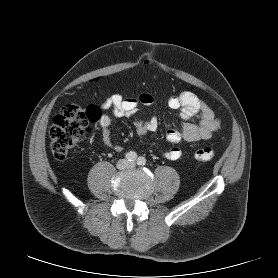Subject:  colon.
Returning a JSON list of instances; mask_svg holds the SVG:
<instances>
[{
  "label": "colon",
  "instance_id": "5ec220e1",
  "mask_svg": "<svg viewBox=\"0 0 278 278\" xmlns=\"http://www.w3.org/2000/svg\"><path fill=\"white\" fill-rule=\"evenodd\" d=\"M101 117L97 106L82 107L76 104L64 106L54 118L50 128V149L54 158L62 161L68 152L90 131L91 125ZM214 157L210 147L195 150L194 158L200 162H208Z\"/></svg>",
  "mask_w": 278,
  "mask_h": 278
}]
</instances>
